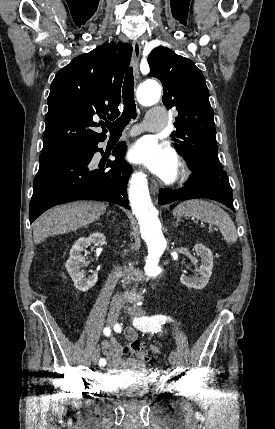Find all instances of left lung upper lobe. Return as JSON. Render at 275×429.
I'll use <instances>...</instances> for the list:
<instances>
[{
  "label": "left lung upper lobe",
  "mask_w": 275,
  "mask_h": 429,
  "mask_svg": "<svg viewBox=\"0 0 275 429\" xmlns=\"http://www.w3.org/2000/svg\"><path fill=\"white\" fill-rule=\"evenodd\" d=\"M149 77L163 85V104L176 108L178 116L171 133L188 166L212 164L221 167L215 139L214 112L209 102L205 78L195 64L171 49L156 47L148 56Z\"/></svg>",
  "instance_id": "left-lung-upper-lobe-1"
}]
</instances>
